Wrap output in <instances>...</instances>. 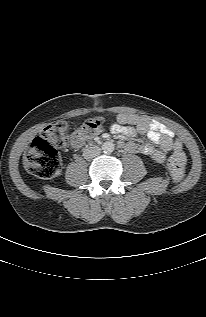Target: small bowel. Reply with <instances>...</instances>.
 Listing matches in <instances>:
<instances>
[{
    "label": "small bowel",
    "mask_w": 206,
    "mask_h": 317,
    "mask_svg": "<svg viewBox=\"0 0 206 317\" xmlns=\"http://www.w3.org/2000/svg\"><path fill=\"white\" fill-rule=\"evenodd\" d=\"M110 129L113 134L127 137H132L136 133L146 134L151 141L150 144L140 146L134 142H120V145L131 153L146 155L157 163L164 162L170 152L182 149L181 142L174 137L170 129L145 116L127 112L120 113L117 116V122L112 124ZM82 143L83 140L73 136L72 145L74 147H79Z\"/></svg>",
    "instance_id": "small-bowel-1"
}]
</instances>
